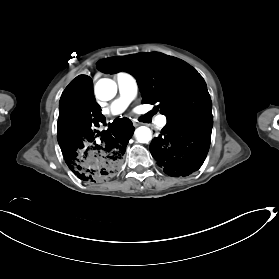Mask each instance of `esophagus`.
<instances>
[{
	"instance_id": "obj_1",
	"label": "esophagus",
	"mask_w": 279,
	"mask_h": 279,
	"mask_svg": "<svg viewBox=\"0 0 279 279\" xmlns=\"http://www.w3.org/2000/svg\"><path fill=\"white\" fill-rule=\"evenodd\" d=\"M132 122L135 127L139 126V123L137 121L133 120Z\"/></svg>"
}]
</instances>
